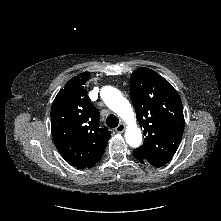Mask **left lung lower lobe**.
<instances>
[{"label":"left lung lower lobe","instance_id":"obj_1","mask_svg":"<svg viewBox=\"0 0 221 221\" xmlns=\"http://www.w3.org/2000/svg\"><path fill=\"white\" fill-rule=\"evenodd\" d=\"M134 153V152H133ZM134 156L137 158V160H139L141 163H145V160L143 158H141L139 155L134 153Z\"/></svg>","mask_w":221,"mask_h":221}]
</instances>
